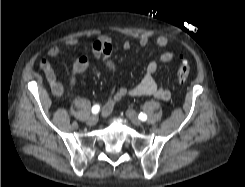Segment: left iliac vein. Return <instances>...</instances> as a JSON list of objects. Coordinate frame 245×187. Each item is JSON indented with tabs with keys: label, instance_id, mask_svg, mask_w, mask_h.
Masks as SVG:
<instances>
[{
	"label": "left iliac vein",
	"instance_id": "4c4485c4",
	"mask_svg": "<svg viewBox=\"0 0 245 187\" xmlns=\"http://www.w3.org/2000/svg\"><path fill=\"white\" fill-rule=\"evenodd\" d=\"M126 116L131 120V122L135 125V126H142V122L139 120L137 113L132 110V109H128L126 111Z\"/></svg>",
	"mask_w": 245,
	"mask_h": 187
}]
</instances>
